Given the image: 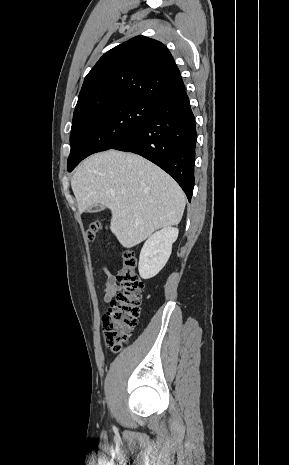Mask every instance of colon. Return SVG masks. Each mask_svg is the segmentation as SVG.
Segmentation results:
<instances>
[{"label":"colon","instance_id":"colon-1","mask_svg":"<svg viewBox=\"0 0 289 465\" xmlns=\"http://www.w3.org/2000/svg\"><path fill=\"white\" fill-rule=\"evenodd\" d=\"M101 228L99 221L92 222L86 229L88 241H94ZM136 257L126 251L117 275L121 291L113 299L102 317L105 345L112 352H119L127 344L138 324L143 281L136 273Z\"/></svg>","mask_w":289,"mask_h":465}]
</instances>
